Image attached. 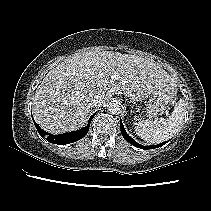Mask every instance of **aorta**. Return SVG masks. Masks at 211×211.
Instances as JSON below:
<instances>
[{
    "label": "aorta",
    "mask_w": 211,
    "mask_h": 211,
    "mask_svg": "<svg viewBox=\"0 0 211 211\" xmlns=\"http://www.w3.org/2000/svg\"><path fill=\"white\" fill-rule=\"evenodd\" d=\"M108 111L112 114H117L120 112V104L117 101H111L108 105H107Z\"/></svg>",
    "instance_id": "obj_1"
}]
</instances>
